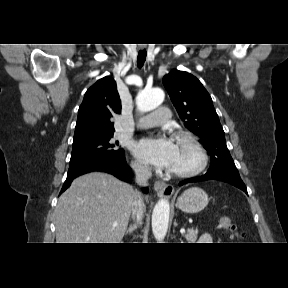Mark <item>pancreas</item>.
<instances>
[{"label":"pancreas","mask_w":288,"mask_h":288,"mask_svg":"<svg viewBox=\"0 0 288 288\" xmlns=\"http://www.w3.org/2000/svg\"><path fill=\"white\" fill-rule=\"evenodd\" d=\"M198 235V229H188L187 233L185 234V239L188 241V243H195L197 240Z\"/></svg>","instance_id":"cf45deb5"}]
</instances>
